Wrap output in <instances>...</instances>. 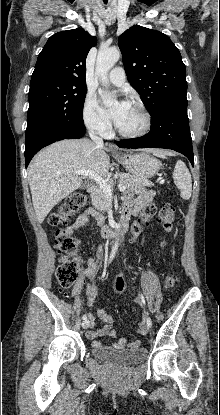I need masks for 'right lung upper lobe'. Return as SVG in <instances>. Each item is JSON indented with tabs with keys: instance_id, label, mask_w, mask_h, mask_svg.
Returning <instances> with one entry per match:
<instances>
[{
	"instance_id": "obj_1",
	"label": "right lung upper lobe",
	"mask_w": 220,
	"mask_h": 415,
	"mask_svg": "<svg viewBox=\"0 0 220 415\" xmlns=\"http://www.w3.org/2000/svg\"><path fill=\"white\" fill-rule=\"evenodd\" d=\"M96 38L82 28L52 35L40 52L31 81L56 79L86 85V57Z\"/></svg>"
}]
</instances>
